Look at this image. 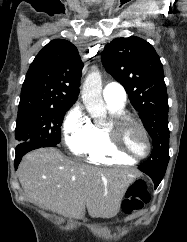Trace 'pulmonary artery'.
Listing matches in <instances>:
<instances>
[{"label": "pulmonary artery", "mask_w": 187, "mask_h": 242, "mask_svg": "<svg viewBox=\"0 0 187 242\" xmlns=\"http://www.w3.org/2000/svg\"><path fill=\"white\" fill-rule=\"evenodd\" d=\"M103 99L110 108H124L126 105V92L120 84L111 82L103 90Z\"/></svg>", "instance_id": "obj_1"}]
</instances>
